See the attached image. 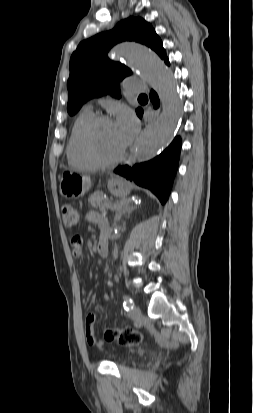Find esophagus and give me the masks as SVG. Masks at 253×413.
I'll return each instance as SVG.
<instances>
[{"label":"esophagus","instance_id":"34e87169","mask_svg":"<svg viewBox=\"0 0 253 413\" xmlns=\"http://www.w3.org/2000/svg\"><path fill=\"white\" fill-rule=\"evenodd\" d=\"M158 114H159V110H155L154 115H153V120H152L149 124L146 125V127L144 128L142 134H143L148 128L151 127L153 121H154L155 118L158 116ZM137 148H138V141H137V142L135 143V145L133 146V148H132V150H131V154H130L128 160L126 161V164H130V163H132V162L135 160Z\"/></svg>","mask_w":253,"mask_h":413}]
</instances>
